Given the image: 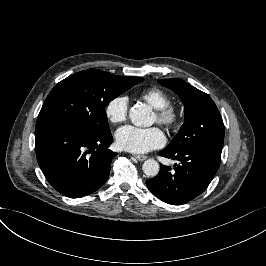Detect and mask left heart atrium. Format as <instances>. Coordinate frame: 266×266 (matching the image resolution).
Wrapping results in <instances>:
<instances>
[{
    "label": "left heart atrium",
    "mask_w": 266,
    "mask_h": 266,
    "mask_svg": "<svg viewBox=\"0 0 266 266\" xmlns=\"http://www.w3.org/2000/svg\"><path fill=\"white\" fill-rule=\"evenodd\" d=\"M116 141L124 150L142 153L161 147L166 138L163 131L157 126L126 125L116 131Z\"/></svg>",
    "instance_id": "left-heart-atrium-1"
}]
</instances>
